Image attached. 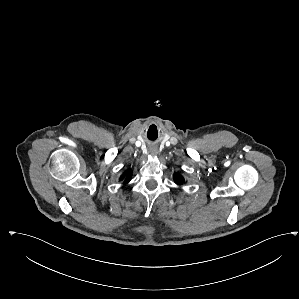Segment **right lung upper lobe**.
<instances>
[{
	"instance_id": "1",
	"label": "right lung upper lobe",
	"mask_w": 299,
	"mask_h": 299,
	"mask_svg": "<svg viewBox=\"0 0 299 299\" xmlns=\"http://www.w3.org/2000/svg\"><path fill=\"white\" fill-rule=\"evenodd\" d=\"M125 174H126V178H124ZM125 174L121 176L120 180L124 179V183L126 184L131 179V171L127 170Z\"/></svg>"
}]
</instances>
